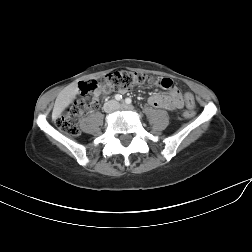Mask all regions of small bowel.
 <instances>
[{"label":"small bowel","instance_id":"obj_1","mask_svg":"<svg viewBox=\"0 0 252 252\" xmlns=\"http://www.w3.org/2000/svg\"><path fill=\"white\" fill-rule=\"evenodd\" d=\"M164 82L171 83L169 88L164 86ZM160 87L168 90L166 94H153L148 98V103L150 106L159 109H166V110H176L181 109L184 105L181 93L173 80L169 78H162L157 83ZM192 98L193 95L189 94Z\"/></svg>","mask_w":252,"mask_h":252}]
</instances>
